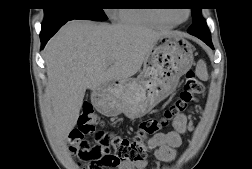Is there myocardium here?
Returning <instances> with one entry per match:
<instances>
[{
  "label": "myocardium",
  "instance_id": "myocardium-1",
  "mask_svg": "<svg viewBox=\"0 0 252 169\" xmlns=\"http://www.w3.org/2000/svg\"><path fill=\"white\" fill-rule=\"evenodd\" d=\"M190 16V10H187V16H186V19L183 20V21H175L167 16H164V15H158L157 17L165 22H168L170 24H181L183 23L184 21H186Z\"/></svg>",
  "mask_w": 252,
  "mask_h": 169
}]
</instances>
